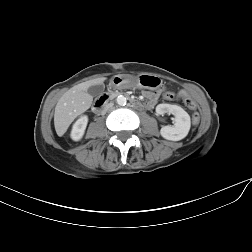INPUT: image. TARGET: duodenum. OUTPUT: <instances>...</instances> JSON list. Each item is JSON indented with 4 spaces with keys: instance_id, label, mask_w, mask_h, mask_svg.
<instances>
[{
    "instance_id": "obj_1",
    "label": "duodenum",
    "mask_w": 252,
    "mask_h": 252,
    "mask_svg": "<svg viewBox=\"0 0 252 252\" xmlns=\"http://www.w3.org/2000/svg\"><path fill=\"white\" fill-rule=\"evenodd\" d=\"M113 87V85H112ZM114 96V92L111 94H105L103 96H100L99 98H97L95 104H94V111L96 113H100L108 104V102L112 99V97ZM130 104L137 109H143L144 107H146V103L145 105L141 102H138L134 99H130Z\"/></svg>"
}]
</instances>
